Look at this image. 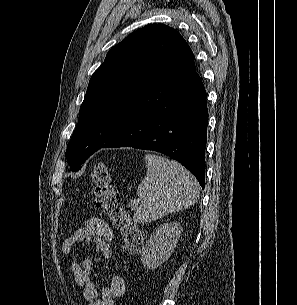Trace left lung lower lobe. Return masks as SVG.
<instances>
[{"mask_svg": "<svg viewBox=\"0 0 297 305\" xmlns=\"http://www.w3.org/2000/svg\"><path fill=\"white\" fill-rule=\"evenodd\" d=\"M207 121L206 91L193 71L151 87L100 148L163 153L184 165L204 188Z\"/></svg>", "mask_w": 297, "mask_h": 305, "instance_id": "left-lung-lower-lobe-1", "label": "left lung lower lobe"}]
</instances>
